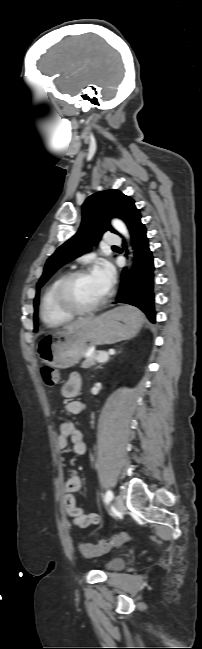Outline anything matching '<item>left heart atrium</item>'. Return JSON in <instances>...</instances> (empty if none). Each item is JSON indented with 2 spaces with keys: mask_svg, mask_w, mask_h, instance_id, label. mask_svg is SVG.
<instances>
[{
  "mask_svg": "<svg viewBox=\"0 0 202 649\" xmlns=\"http://www.w3.org/2000/svg\"><path fill=\"white\" fill-rule=\"evenodd\" d=\"M91 276L101 289L107 292L114 281V269L110 263L100 259L92 269Z\"/></svg>",
  "mask_w": 202,
  "mask_h": 649,
  "instance_id": "obj_1",
  "label": "left heart atrium"
}]
</instances>
